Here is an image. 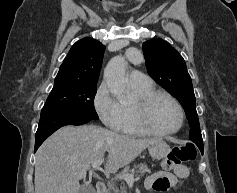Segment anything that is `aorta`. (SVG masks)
I'll return each instance as SVG.
<instances>
[{
    "label": "aorta",
    "instance_id": "aorta-1",
    "mask_svg": "<svg viewBox=\"0 0 237 193\" xmlns=\"http://www.w3.org/2000/svg\"><path fill=\"white\" fill-rule=\"evenodd\" d=\"M126 61L122 56L113 57L104 70V79L120 102H127V81L125 78Z\"/></svg>",
    "mask_w": 237,
    "mask_h": 193
}]
</instances>
